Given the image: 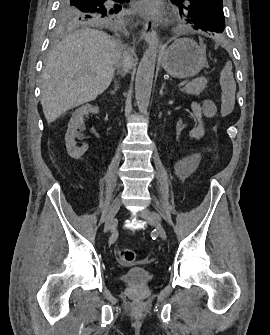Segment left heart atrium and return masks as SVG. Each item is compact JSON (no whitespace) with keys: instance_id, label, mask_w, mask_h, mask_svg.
Segmentation results:
<instances>
[{"instance_id":"39dd6f15","label":"left heart atrium","mask_w":270,"mask_h":335,"mask_svg":"<svg viewBox=\"0 0 270 335\" xmlns=\"http://www.w3.org/2000/svg\"><path fill=\"white\" fill-rule=\"evenodd\" d=\"M137 12L145 19L152 21H167L160 10L158 0H143L137 5Z\"/></svg>"}]
</instances>
